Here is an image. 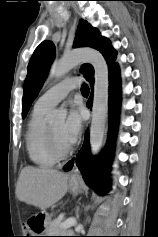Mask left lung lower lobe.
I'll return each instance as SVG.
<instances>
[{
	"label": "left lung lower lobe",
	"mask_w": 158,
	"mask_h": 237,
	"mask_svg": "<svg viewBox=\"0 0 158 237\" xmlns=\"http://www.w3.org/2000/svg\"><path fill=\"white\" fill-rule=\"evenodd\" d=\"M109 81H110V99H109V138L108 143L103 155L98 158H92L90 155V148L88 144V136L85 139V143L78 154L76 164L81 170L82 177L86 184L92 187L95 192L104 194L108 191L109 182L106 178L108 165L112 160V151L114 145V136L116 131L119 103H120V76L119 68L116 63L109 67ZM93 85V79L90 81ZM88 105L92 106V95L88 101ZM74 161H69L65 166L64 170H71Z\"/></svg>",
	"instance_id": "obj_1"
}]
</instances>
